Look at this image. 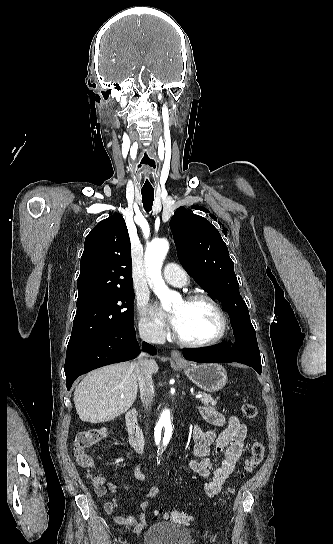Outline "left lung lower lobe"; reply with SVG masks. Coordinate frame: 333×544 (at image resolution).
Segmentation results:
<instances>
[{
	"label": "left lung lower lobe",
	"instance_id": "0a47b994",
	"mask_svg": "<svg viewBox=\"0 0 333 544\" xmlns=\"http://www.w3.org/2000/svg\"><path fill=\"white\" fill-rule=\"evenodd\" d=\"M226 345V343H221L204 349H183V355L184 358L196 362H207L210 359L226 363L239 362L253 367L258 374H261L262 368L258 346L255 345L254 349L239 350L237 354H234Z\"/></svg>",
	"mask_w": 333,
	"mask_h": 544
}]
</instances>
